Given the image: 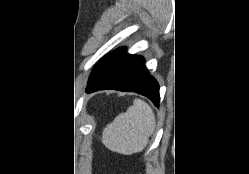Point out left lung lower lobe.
I'll return each mask as SVG.
<instances>
[{"instance_id":"0a47b994","label":"left lung lower lobe","mask_w":249,"mask_h":174,"mask_svg":"<svg viewBox=\"0 0 249 174\" xmlns=\"http://www.w3.org/2000/svg\"><path fill=\"white\" fill-rule=\"evenodd\" d=\"M104 89L136 92L148 97L155 106L159 105V85L149 75L144 58L130 55L124 48L117 50L110 61L88 80L87 92Z\"/></svg>"}]
</instances>
